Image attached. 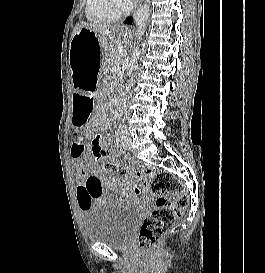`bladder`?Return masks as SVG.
Returning <instances> with one entry per match:
<instances>
[{"label": "bladder", "mask_w": 265, "mask_h": 273, "mask_svg": "<svg viewBox=\"0 0 265 273\" xmlns=\"http://www.w3.org/2000/svg\"><path fill=\"white\" fill-rule=\"evenodd\" d=\"M139 211L125 203L94 205L83 211L82 226L89 241L123 248L131 239Z\"/></svg>", "instance_id": "bladder-1"}]
</instances>
